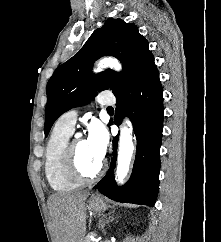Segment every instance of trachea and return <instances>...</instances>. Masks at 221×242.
<instances>
[{
	"mask_svg": "<svg viewBox=\"0 0 221 242\" xmlns=\"http://www.w3.org/2000/svg\"><path fill=\"white\" fill-rule=\"evenodd\" d=\"M107 111H108V112H113L114 109H113L112 107H107Z\"/></svg>",
	"mask_w": 221,
	"mask_h": 242,
	"instance_id": "3493384b",
	"label": "trachea"
}]
</instances>
